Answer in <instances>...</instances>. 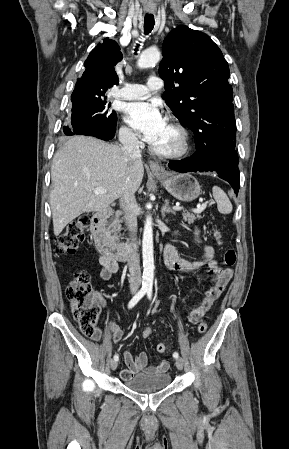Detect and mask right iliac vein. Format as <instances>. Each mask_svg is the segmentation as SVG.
Here are the masks:
<instances>
[{"label": "right iliac vein", "instance_id": "1", "mask_svg": "<svg viewBox=\"0 0 289 449\" xmlns=\"http://www.w3.org/2000/svg\"><path fill=\"white\" fill-rule=\"evenodd\" d=\"M110 366H111L112 370H115L117 368V366H118V361L112 360L111 363H110Z\"/></svg>", "mask_w": 289, "mask_h": 449}]
</instances>
